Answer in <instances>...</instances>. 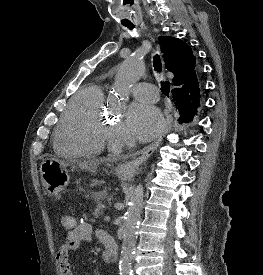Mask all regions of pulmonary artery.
<instances>
[{
  "mask_svg": "<svg viewBox=\"0 0 263 275\" xmlns=\"http://www.w3.org/2000/svg\"><path fill=\"white\" fill-rule=\"evenodd\" d=\"M132 95L142 101L153 103L158 100V91L151 83L140 82L131 88Z\"/></svg>",
  "mask_w": 263,
  "mask_h": 275,
  "instance_id": "1",
  "label": "pulmonary artery"
}]
</instances>
